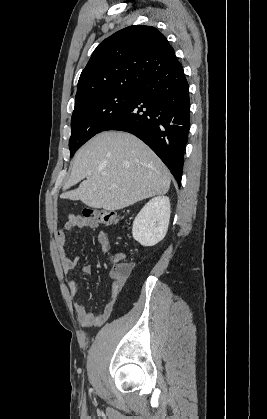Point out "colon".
<instances>
[{"instance_id":"5ec220e1","label":"colon","mask_w":267,"mask_h":419,"mask_svg":"<svg viewBox=\"0 0 267 419\" xmlns=\"http://www.w3.org/2000/svg\"><path fill=\"white\" fill-rule=\"evenodd\" d=\"M83 215L98 224L107 226L115 225L121 219V215L119 213L105 209H87L83 212ZM114 260L116 264L111 272L118 276L128 275L131 270V265L123 261V255H115Z\"/></svg>"}]
</instances>
